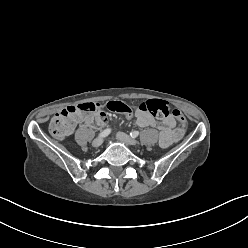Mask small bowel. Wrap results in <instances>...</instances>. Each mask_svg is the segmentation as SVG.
<instances>
[{
	"label": "small bowel",
	"instance_id": "c3829d8e",
	"mask_svg": "<svg viewBox=\"0 0 248 248\" xmlns=\"http://www.w3.org/2000/svg\"><path fill=\"white\" fill-rule=\"evenodd\" d=\"M135 123L139 127H156L159 130V145L162 148H167L173 143L177 142L181 136L182 131L176 128V121L172 116L165 117L162 122H158L149 114L136 110L134 113ZM86 123H91L86 121Z\"/></svg>",
	"mask_w": 248,
	"mask_h": 248
}]
</instances>
